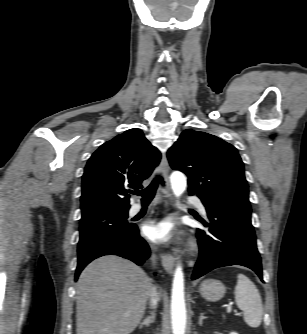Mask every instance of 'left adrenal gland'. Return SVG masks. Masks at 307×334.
I'll return each instance as SVG.
<instances>
[{
	"label": "left adrenal gland",
	"mask_w": 307,
	"mask_h": 334,
	"mask_svg": "<svg viewBox=\"0 0 307 334\" xmlns=\"http://www.w3.org/2000/svg\"><path fill=\"white\" fill-rule=\"evenodd\" d=\"M204 319H206V317L204 316V313H200V317H199V325L200 326H202Z\"/></svg>",
	"instance_id": "obj_1"
}]
</instances>
